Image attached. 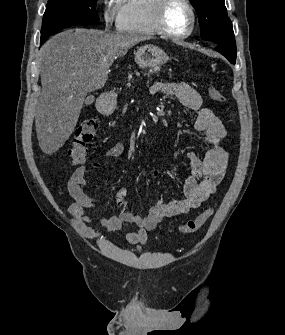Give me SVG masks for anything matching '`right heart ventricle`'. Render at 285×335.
Listing matches in <instances>:
<instances>
[{"label":"right heart ventricle","instance_id":"obj_1","mask_svg":"<svg viewBox=\"0 0 285 335\" xmlns=\"http://www.w3.org/2000/svg\"><path fill=\"white\" fill-rule=\"evenodd\" d=\"M158 5L159 1H130L133 15L123 26L140 37L162 36L157 23Z\"/></svg>","mask_w":285,"mask_h":335}]
</instances>
